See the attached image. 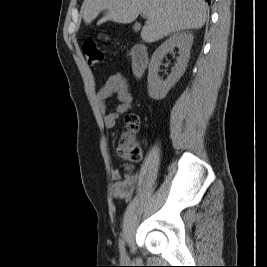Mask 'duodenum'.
Wrapping results in <instances>:
<instances>
[{
    "instance_id": "obj_1",
    "label": "duodenum",
    "mask_w": 267,
    "mask_h": 267,
    "mask_svg": "<svg viewBox=\"0 0 267 267\" xmlns=\"http://www.w3.org/2000/svg\"><path fill=\"white\" fill-rule=\"evenodd\" d=\"M149 61L148 50L145 45L138 44L131 51V67L135 76H141Z\"/></svg>"
}]
</instances>
